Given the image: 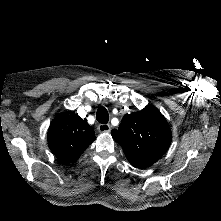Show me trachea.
Returning a JSON list of instances; mask_svg holds the SVG:
<instances>
[{"label":"trachea","mask_w":221,"mask_h":221,"mask_svg":"<svg viewBox=\"0 0 221 221\" xmlns=\"http://www.w3.org/2000/svg\"><path fill=\"white\" fill-rule=\"evenodd\" d=\"M96 119L99 123L106 124L108 123V111L105 107H100L96 113Z\"/></svg>","instance_id":"obj_1"}]
</instances>
